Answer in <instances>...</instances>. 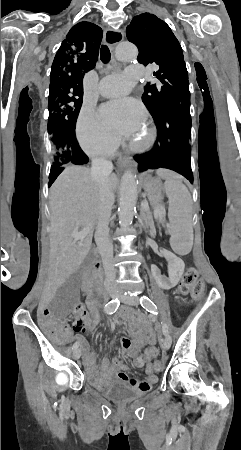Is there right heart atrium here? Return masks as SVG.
<instances>
[{
	"instance_id": "right-heart-atrium-1",
	"label": "right heart atrium",
	"mask_w": 241,
	"mask_h": 450,
	"mask_svg": "<svg viewBox=\"0 0 241 450\" xmlns=\"http://www.w3.org/2000/svg\"><path fill=\"white\" fill-rule=\"evenodd\" d=\"M76 134L80 140L82 151L92 158H108L113 155L111 150L116 140L113 135L95 118L90 106L81 108L77 122ZM110 150V151H109Z\"/></svg>"
}]
</instances>
